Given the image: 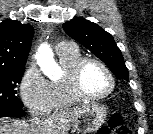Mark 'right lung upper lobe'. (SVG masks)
Listing matches in <instances>:
<instances>
[{"instance_id": "obj_1", "label": "right lung upper lobe", "mask_w": 153, "mask_h": 134, "mask_svg": "<svg viewBox=\"0 0 153 134\" xmlns=\"http://www.w3.org/2000/svg\"><path fill=\"white\" fill-rule=\"evenodd\" d=\"M34 29L15 20L0 23V69L25 68Z\"/></svg>"}]
</instances>
